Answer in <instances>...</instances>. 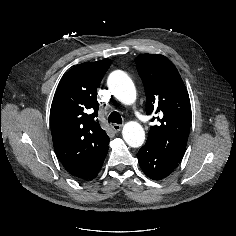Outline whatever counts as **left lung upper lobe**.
<instances>
[{"instance_id":"1","label":"left lung upper lobe","mask_w":236,"mask_h":236,"mask_svg":"<svg viewBox=\"0 0 236 236\" xmlns=\"http://www.w3.org/2000/svg\"><path fill=\"white\" fill-rule=\"evenodd\" d=\"M136 67L145 89L146 113L159 115V124L151 127L146 144L179 162L192 119L185 84L173 63L163 55L140 54Z\"/></svg>"}]
</instances>
